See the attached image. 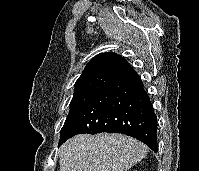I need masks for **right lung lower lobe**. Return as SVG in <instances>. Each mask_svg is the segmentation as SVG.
<instances>
[{"label": "right lung lower lobe", "mask_w": 199, "mask_h": 171, "mask_svg": "<svg viewBox=\"0 0 199 171\" xmlns=\"http://www.w3.org/2000/svg\"><path fill=\"white\" fill-rule=\"evenodd\" d=\"M100 132L132 136L157 152V117L143 82L133 68L116 75L95 93L60 139Z\"/></svg>", "instance_id": "1"}]
</instances>
